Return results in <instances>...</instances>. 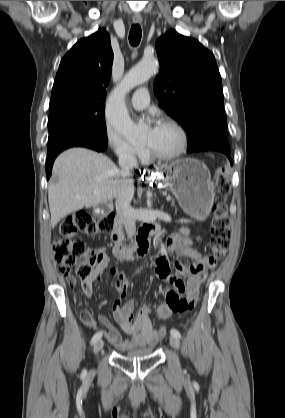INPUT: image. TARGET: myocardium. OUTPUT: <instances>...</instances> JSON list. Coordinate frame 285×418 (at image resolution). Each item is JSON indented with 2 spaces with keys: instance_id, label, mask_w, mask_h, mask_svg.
I'll use <instances>...</instances> for the list:
<instances>
[{
  "instance_id": "1",
  "label": "myocardium",
  "mask_w": 285,
  "mask_h": 418,
  "mask_svg": "<svg viewBox=\"0 0 285 418\" xmlns=\"http://www.w3.org/2000/svg\"><path fill=\"white\" fill-rule=\"evenodd\" d=\"M162 125H166V126H170L173 127L179 134L180 136V143L179 146L177 148V150L171 154H161L156 152L155 150L152 149L151 146H149V156L151 158H154L156 160L159 161H170V160H174L178 157H180L187 148V144H188V135L187 132L185 130V128L176 120L173 119H165L162 123Z\"/></svg>"
}]
</instances>
